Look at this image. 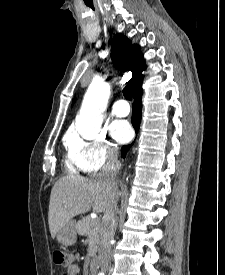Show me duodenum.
Masks as SVG:
<instances>
[{"mask_svg": "<svg viewBox=\"0 0 225 275\" xmlns=\"http://www.w3.org/2000/svg\"><path fill=\"white\" fill-rule=\"evenodd\" d=\"M96 265H97L96 258L92 257L90 260V274L91 275H95Z\"/></svg>", "mask_w": 225, "mask_h": 275, "instance_id": "410a0bca", "label": "duodenum"}]
</instances>
